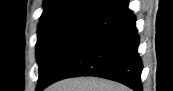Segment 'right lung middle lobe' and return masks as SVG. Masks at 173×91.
<instances>
[{
    "mask_svg": "<svg viewBox=\"0 0 173 91\" xmlns=\"http://www.w3.org/2000/svg\"><path fill=\"white\" fill-rule=\"evenodd\" d=\"M102 4L109 7L114 3H111V0H105ZM85 22L68 20L39 25L36 44V56L39 64L38 84L45 81L50 75L55 63Z\"/></svg>",
    "mask_w": 173,
    "mask_h": 91,
    "instance_id": "obj_1",
    "label": "right lung middle lobe"
}]
</instances>
